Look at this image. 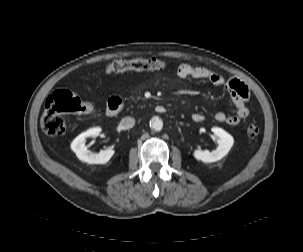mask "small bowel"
<instances>
[{"label":"small bowel","instance_id":"obj_1","mask_svg":"<svg viewBox=\"0 0 303 252\" xmlns=\"http://www.w3.org/2000/svg\"><path fill=\"white\" fill-rule=\"evenodd\" d=\"M177 74L183 79L208 80L215 87H224L228 90L236 109V114L228 115L225 111H218L214 114V120L219 123H227L232 126L238 125L248 116L246 101L250 97V92L246 86L238 81H232L226 85L225 79L218 72L211 71L202 66L181 64L177 68ZM91 90L89 86H86ZM192 119L195 122H203L205 116L202 113H193Z\"/></svg>","mask_w":303,"mask_h":252}]
</instances>
